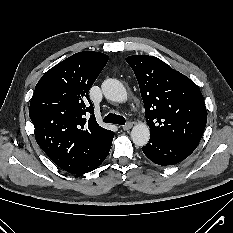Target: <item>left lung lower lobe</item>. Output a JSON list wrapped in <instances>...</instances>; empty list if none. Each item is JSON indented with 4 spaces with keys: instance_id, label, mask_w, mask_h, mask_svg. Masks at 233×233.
<instances>
[{
    "instance_id": "0a47b994",
    "label": "left lung lower lobe",
    "mask_w": 233,
    "mask_h": 233,
    "mask_svg": "<svg viewBox=\"0 0 233 233\" xmlns=\"http://www.w3.org/2000/svg\"><path fill=\"white\" fill-rule=\"evenodd\" d=\"M142 150L152 162L161 166L177 164L194 151L191 147L154 136H150L149 143Z\"/></svg>"
}]
</instances>
